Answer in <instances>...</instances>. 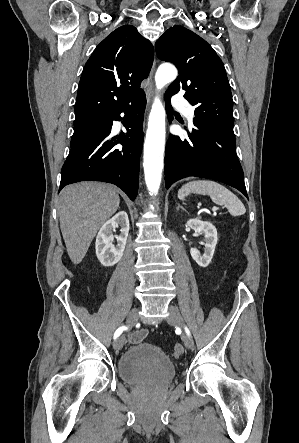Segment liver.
<instances>
[{
  "instance_id": "obj_1",
  "label": "liver",
  "mask_w": 299,
  "mask_h": 443,
  "mask_svg": "<svg viewBox=\"0 0 299 443\" xmlns=\"http://www.w3.org/2000/svg\"><path fill=\"white\" fill-rule=\"evenodd\" d=\"M116 189L108 184L80 182L66 186L57 211L69 258L79 264L100 227L118 210Z\"/></svg>"
}]
</instances>
